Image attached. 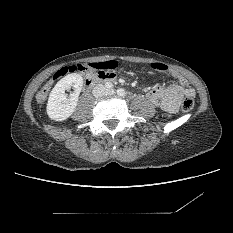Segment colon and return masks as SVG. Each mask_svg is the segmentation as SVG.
Instances as JSON below:
<instances>
[{
	"label": "colon",
	"mask_w": 233,
	"mask_h": 233,
	"mask_svg": "<svg viewBox=\"0 0 233 233\" xmlns=\"http://www.w3.org/2000/svg\"><path fill=\"white\" fill-rule=\"evenodd\" d=\"M149 67L157 72L162 73H171L172 69L165 63L156 61L149 64ZM86 70V65L84 63H75L73 65L63 67L59 69L53 76L52 82L46 85H43L36 94V99L38 102H43L51 86L61 80H63L67 75L71 73L83 72ZM182 86L188 88V83L186 81H182ZM194 105V100L191 96L184 97L182 101V111L185 113H190Z\"/></svg>",
	"instance_id": "colon-1"
}]
</instances>
